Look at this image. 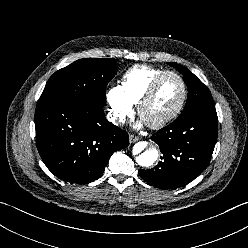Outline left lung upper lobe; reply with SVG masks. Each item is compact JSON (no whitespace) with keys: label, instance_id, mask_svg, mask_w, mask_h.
<instances>
[{"label":"left lung upper lobe","instance_id":"obj_1","mask_svg":"<svg viewBox=\"0 0 248 248\" xmlns=\"http://www.w3.org/2000/svg\"><path fill=\"white\" fill-rule=\"evenodd\" d=\"M168 64L183 74V79L188 86L187 102L183 112L177 119H184L206 111H214L215 105L209 89L186 67L177 63Z\"/></svg>","mask_w":248,"mask_h":248}]
</instances>
